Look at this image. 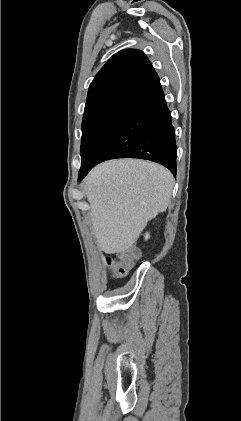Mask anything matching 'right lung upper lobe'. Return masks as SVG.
Here are the masks:
<instances>
[{
  "mask_svg": "<svg viewBox=\"0 0 241 421\" xmlns=\"http://www.w3.org/2000/svg\"><path fill=\"white\" fill-rule=\"evenodd\" d=\"M158 79L142 51H120L111 57L90 84L84 115L116 103L132 102Z\"/></svg>",
  "mask_w": 241,
  "mask_h": 421,
  "instance_id": "cb5924a9",
  "label": "right lung upper lobe"
}]
</instances>
